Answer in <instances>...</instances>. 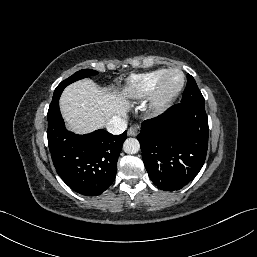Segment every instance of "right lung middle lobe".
I'll use <instances>...</instances> for the list:
<instances>
[{"label": "right lung middle lobe", "mask_w": 257, "mask_h": 257, "mask_svg": "<svg viewBox=\"0 0 257 257\" xmlns=\"http://www.w3.org/2000/svg\"><path fill=\"white\" fill-rule=\"evenodd\" d=\"M98 72L95 71V70H92V69H83V70H80V71H77L76 73H74L72 76H70L69 78H67L66 80L62 81L58 86L57 88L55 89L54 91V95H53V99H52V102H54L55 100H58L62 91L64 90V88L77 81V80H80V79H83V78H86L88 76H94V75H97Z\"/></svg>", "instance_id": "dd1d6c3e"}]
</instances>
